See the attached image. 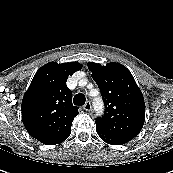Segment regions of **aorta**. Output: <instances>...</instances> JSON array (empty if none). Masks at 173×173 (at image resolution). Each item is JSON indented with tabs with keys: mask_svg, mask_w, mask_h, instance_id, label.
<instances>
[{
	"mask_svg": "<svg viewBox=\"0 0 173 173\" xmlns=\"http://www.w3.org/2000/svg\"><path fill=\"white\" fill-rule=\"evenodd\" d=\"M94 108L98 113L102 112L103 103L99 98H97V100L94 102Z\"/></svg>",
	"mask_w": 173,
	"mask_h": 173,
	"instance_id": "762f6f07",
	"label": "aorta"
}]
</instances>
